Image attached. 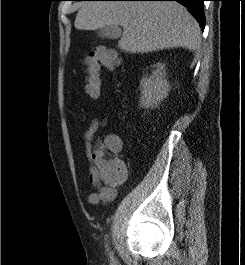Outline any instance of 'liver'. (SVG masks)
<instances>
[{"instance_id":"obj_1","label":"liver","mask_w":245,"mask_h":265,"mask_svg":"<svg viewBox=\"0 0 245 265\" xmlns=\"http://www.w3.org/2000/svg\"><path fill=\"white\" fill-rule=\"evenodd\" d=\"M78 30L122 26L118 47L128 53L199 48L201 30L188 10L174 1H86L78 4Z\"/></svg>"}]
</instances>
